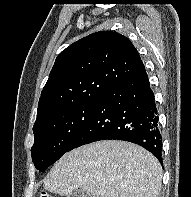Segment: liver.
Here are the masks:
<instances>
[{"label": "liver", "mask_w": 191, "mask_h": 197, "mask_svg": "<svg viewBox=\"0 0 191 197\" xmlns=\"http://www.w3.org/2000/svg\"><path fill=\"white\" fill-rule=\"evenodd\" d=\"M163 170L139 145L103 140L64 154L45 177V190L62 196L82 189L91 197H157Z\"/></svg>", "instance_id": "1"}]
</instances>
